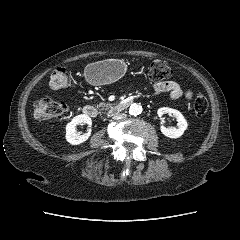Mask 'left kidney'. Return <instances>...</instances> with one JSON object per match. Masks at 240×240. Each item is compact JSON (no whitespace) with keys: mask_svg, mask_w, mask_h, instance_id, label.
Segmentation results:
<instances>
[{"mask_svg":"<svg viewBox=\"0 0 240 240\" xmlns=\"http://www.w3.org/2000/svg\"><path fill=\"white\" fill-rule=\"evenodd\" d=\"M157 114L159 117H162L164 114H171L177 120L176 127L161 126V132L166 137L179 138L180 136L183 135L184 131L187 129L188 126L187 120L178 110L169 107H162L158 109Z\"/></svg>","mask_w":240,"mask_h":240,"instance_id":"left-kidney-1","label":"left kidney"}]
</instances>
